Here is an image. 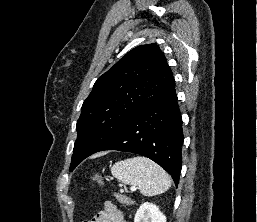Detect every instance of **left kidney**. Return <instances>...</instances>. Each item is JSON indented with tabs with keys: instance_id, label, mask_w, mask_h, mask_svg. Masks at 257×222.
I'll use <instances>...</instances> for the list:
<instances>
[{
	"instance_id": "left-kidney-1",
	"label": "left kidney",
	"mask_w": 257,
	"mask_h": 222,
	"mask_svg": "<svg viewBox=\"0 0 257 222\" xmlns=\"http://www.w3.org/2000/svg\"><path fill=\"white\" fill-rule=\"evenodd\" d=\"M134 222H166V217L152 203H143L136 212Z\"/></svg>"
}]
</instances>
